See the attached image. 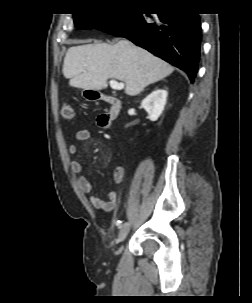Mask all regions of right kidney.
<instances>
[{
    "instance_id": "1",
    "label": "right kidney",
    "mask_w": 252,
    "mask_h": 303,
    "mask_svg": "<svg viewBox=\"0 0 252 303\" xmlns=\"http://www.w3.org/2000/svg\"><path fill=\"white\" fill-rule=\"evenodd\" d=\"M167 91L156 89L143 99L141 105L146 110L151 121H156L162 114L167 98Z\"/></svg>"
}]
</instances>
